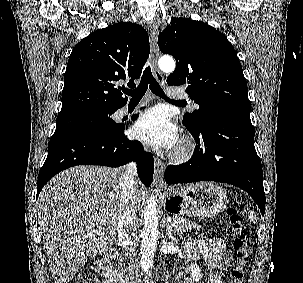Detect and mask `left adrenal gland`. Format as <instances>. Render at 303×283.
Masks as SVG:
<instances>
[{"instance_id": "a2214340", "label": "left adrenal gland", "mask_w": 303, "mask_h": 283, "mask_svg": "<svg viewBox=\"0 0 303 283\" xmlns=\"http://www.w3.org/2000/svg\"><path fill=\"white\" fill-rule=\"evenodd\" d=\"M166 235L171 241L176 240V231L172 229L170 224H166Z\"/></svg>"}]
</instances>
